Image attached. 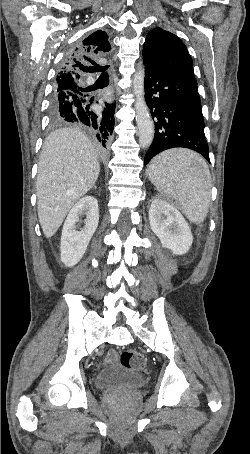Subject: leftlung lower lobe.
<instances>
[{
    "label": "left lung lower lobe",
    "instance_id": "left-lung-lower-lobe-1",
    "mask_svg": "<svg viewBox=\"0 0 250 454\" xmlns=\"http://www.w3.org/2000/svg\"><path fill=\"white\" fill-rule=\"evenodd\" d=\"M144 64L145 99L155 118V136L144 164L158 153L174 147L195 150L210 162L195 77Z\"/></svg>",
    "mask_w": 250,
    "mask_h": 454
}]
</instances>
